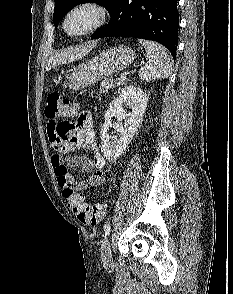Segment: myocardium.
<instances>
[{"mask_svg": "<svg viewBox=\"0 0 233 294\" xmlns=\"http://www.w3.org/2000/svg\"><path fill=\"white\" fill-rule=\"evenodd\" d=\"M81 9L92 10L95 13V21L85 31L80 32V33H71L68 31V28H67L68 20L73 13H75L76 11L81 10ZM107 18H108V10L101 3H99L95 0H82V1L75 3L73 6H71L68 9V11L66 12V14L63 18L62 28L68 36L73 37V38H82V37H85V36L95 32L96 30H98L101 26L104 25Z\"/></svg>", "mask_w": 233, "mask_h": 294, "instance_id": "myocardium-1", "label": "myocardium"}]
</instances>
